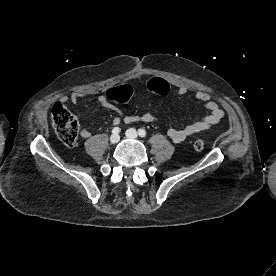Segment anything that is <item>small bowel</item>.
Segmentation results:
<instances>
[{
  "label": "small bowel",
  "mask_w": 276,
  "mask_h": 276,
  "mask_svg": "<svg viewBox=\"0 0 276 276\" xmlns=\"http://www.w3.org/2000/svg\"><path fill=\"white\" fill-rule=\"evenodd\" d=\"M152 80V79H151ZM149 84V82H148ZM128 90L133 92V89L131 86L127 85L125 86ZM149 87V85H148ZM149 89L153 92H156L155 90H152L150 87ZM169 90V86L161 91L160 94H165ZM176 93L178 95H185L187 93V88L185 86H178L176 88ZM93 95V92L89 91H76L73 92L70 96H62L61 101L67 102L71 101L72 103L76 104L79 100L83 98H87ZM194 98L203 103L205 108L208 110L209 114L205 116L203 119L193 122L192 124L182 128V129H176V128H169L167 131L168 137L174 142V143H181L188 139L189 137H192L202 131L208 130L214 125L218 124L222 118L224 117V112L220 108L219 104L212 98V96L206 92L203 91H197L194 93ZM99 103L110 109L113 110L116 113V116L114 117L112 124L113 125H119L121 122L125 123H134V122H145V123H153L157 120V118L149 113L144 112L140 114L135 115H128L124 116L121 109L113 104L105 95L98 96ZM81 136L85 139H88L91 136V132L88 129H82L81 130Z\"/></svg>",
  "instance_id": "1"
}]
</instances>
